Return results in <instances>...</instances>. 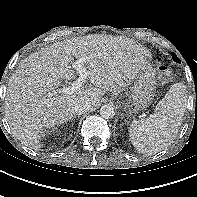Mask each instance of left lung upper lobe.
Returning a JSON list of instances; mask_svg holds the SVG:
<instances>
[{
    "mask_svg": "<svg viewBox=\"0 0 197 197\" xmlns=\"http://www.w3.org/2000/svg\"><path fill=\"white\" fill-rule=\"evenodd\" d=\"M172 57H173L174 61L180 62L179 59L177 58V56L174 53H172Z\"/></svg>",
    "mask_w": 197,
    "mask_h": 197,
    "instance_id": "obj_1",
    "label": "left lung upper lobe"
}]
</instances>
